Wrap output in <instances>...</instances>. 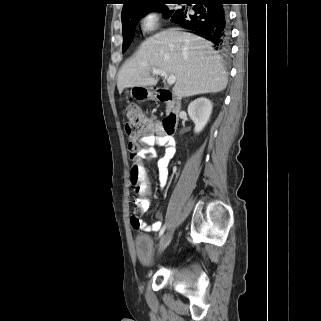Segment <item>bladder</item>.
Returning a JSON list of instances; mask_svg holds the SVG:
<instances>
[{
	"instance_id": "31cf9c89",
	"label": "bladder",
	"mask_w": 321,
	"mask_h": 321,
	"mask_svg": "<svg viewBox=\"0 0 321 321\" xmlns=\"http://www.w3.org/2000/svg\"><path fill=\"white\" fill-rule=\"evenodd\" d=\"M135 251L139 261L146 267L152 266L154 256V240L148 234H138L134 238Z\"/></svg>"
}]
</instances>
